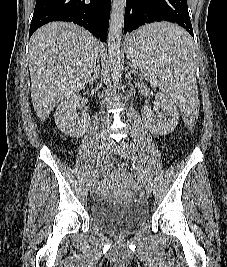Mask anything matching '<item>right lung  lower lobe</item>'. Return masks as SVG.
I'll return each mask as SVG.
<instances>
[{"instance_id":"98d812e1","label":"right lung lower lobe","mask_w":227,"mask_h":267,"mask_svg":"<svg viewBox=\"0 0 227 267\" xmlns=\"http://www.w3.org/2000/svg\"><path fill=\"white\" fill-rule=\"evenodd\" d=\"M110 9L111 0H37L29 37L48 22L67 21L84 27L106 42Z\"/></svg>"}]
</instances>
